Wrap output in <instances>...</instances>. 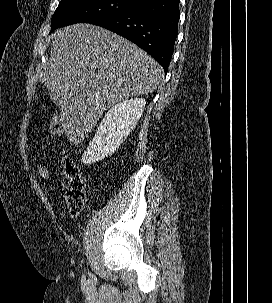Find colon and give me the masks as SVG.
<instances>
[{
  "label": "colon",
  "instance_id": "1",
  "mask_svg": "<svg viewBox=\"0 0 272 303\" xmlns=\"http://www.w3.org/2000/svg\"><path fill=\"white\" fill-rule=\"evenodd\" d=\"M50 131L53 135L61 133V120L55 116L50 123ZM64 173L62 193L72 216L76 217L82 211L86 197V186L79 165L68 151H64L61 158ZM34 172L41 180L51 178V169L44 162H36Z\"/></svg>",
  "mask_w": 272,
  "mask_h": 303
}]
</instances>
